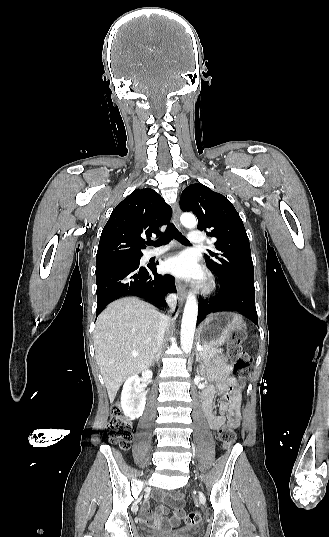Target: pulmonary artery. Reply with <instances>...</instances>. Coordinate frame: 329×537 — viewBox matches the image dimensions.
Returning a JSON list of instances; mask_svg holds the SVG:
<instances>
[{
  "label": "pulmonary artery",
  "mask_w": 329,
  "mask_h": 537,
  "mask_svg": "<svg viewBox=\"0 0 329 537\" xmlns=\"http://www.w3.org/2000/svg\"><path fill=\"white\" fill-rule=\"evenodd\" d=\"M188 238L191 244H194V245H200L204 241L203 233L200 231H191L188 235ZM166 250H167V247L158 248V249L151 251L150 255L151 256L159 255Z\"/></svg>",
  "instance_id": "obj_1"
}]
</instances>
